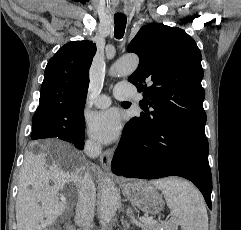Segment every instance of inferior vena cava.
Segmentation results:
<instances>
[{
  "label": "inferior vena cava",
  "instance_id": "obj_1",
  "mask_svg": "<svg viewBox=\"0 0 241 230\" xmlns=\"http://www.w3.org/2000/svg\"><path fill=\"white\" fill-rule=\"evenodd\" d=\"M101 151L99 144H88L86 153L89 156L97 155ZM96 188L94 181L87 172L83 175L79 185V195L76 205L75 222L83 230H90L95 215Z\"/></svg>",
  "mask_w": 241,
  "mask_h": 230
}]
</instances>
